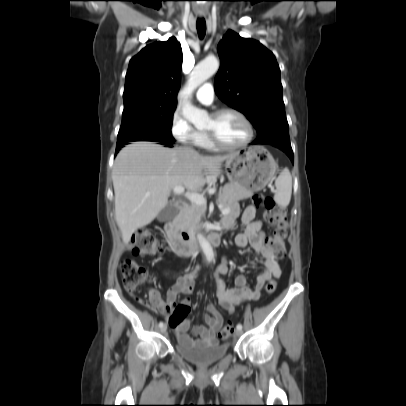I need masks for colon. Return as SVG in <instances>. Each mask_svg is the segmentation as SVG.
<instances>
[{
  "mask_svg": "<svg viewBox=\"0 0 406 406\" xmlns=\"http://www.w3.org/2000/svg\"><path fill=\"white\" fill-rule=\"evenodd\" d=\"M253 202L257 206L265 208V218L269 224L275 227L269 237L268 243L274 253V260L283 256L284 241L286 238V212L284 208L276 206L274 200L262 194H256ZM130 248L134 256H148L160 252L164 249V244L156 239L151 230L147 228L139 229L132 234ZM122 283L128 292H135L138 287L144 284L149 278V271L144 266L138 264L134 259L127 258L121 263ZM276 281L269 280L265 287L266 294L274 293ZM189 313V308L177 306L169 322L175 325L184 320ZM233 322H227L218 332V337L227 339L233 332Z\"/></svg>",
  "mask_w": 406,
  "mask_h": 406,
  "instance_id": "5ec220e1",
  "label": "colon"
}]
</instances>
